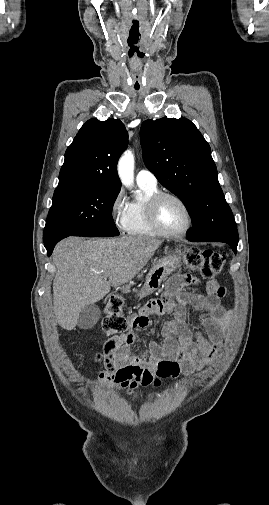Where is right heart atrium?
<instances>
[{"instance_id": "d8ad5b80", "label": "right heart atrium", "mask_w": 269, "mask_h": 505, "mask_svg": "<svg viewBox=\"0 0 269 505\" xmlns=\"http://www.w3.org/2000/svg\"><path fill=\"white\" fill-rule=\"evenodd\" d=\"M127 202L125 200L124 192L120 189L113 196L109 212L114 226L119 230H124L127 220Z\"/></svg>"}]
</instances>
